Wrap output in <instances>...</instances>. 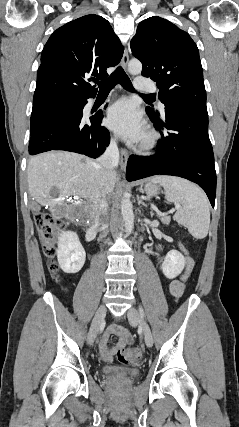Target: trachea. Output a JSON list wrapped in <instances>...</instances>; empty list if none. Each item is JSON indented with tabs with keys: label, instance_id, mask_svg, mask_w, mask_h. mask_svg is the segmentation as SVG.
I'll return each instance as SVG.
<instances>
[{
	"label": "trachea",
	"instance_id": "1",
	"mask_svg": "<svg viewBox=\"0 0 239 427\" xmlns=\"http://www.w3.org/2000/svg\"><path fill=\"white\" fill-rule=\"evenodd\" d=\"M99 86V92L105 93L110 92L116 84H120L123 88L134 91V88L132 86V83L128 77V75L125 73V71L122 69V67H118L107 79L97 82ZM145 97H153L151 94L144 95Z\"/></svg>",
	"mask_w": 239,
	"mask_h": 427
}]
</instances>
